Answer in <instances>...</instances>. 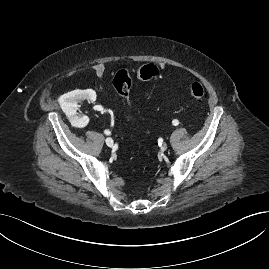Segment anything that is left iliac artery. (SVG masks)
Masks as SVG:
<instances>
[{
  "instance_id": "44dca946",
  "label": "left iliac artery",
  "mask_w": 269,
  "mask_h": 269,
  "mask_svg": "<svg viewBox=\"0 0 269 269\" xmlns=\"http://www.w3.org/2000/svg\"><path fill=\"white\" fill-rule=\"evenodd\" d=\"M172 123H173V125L177 126V125L179 124V121H178L177 119H174V120L172 121Z\"/></svg>"
}]
</instances>
